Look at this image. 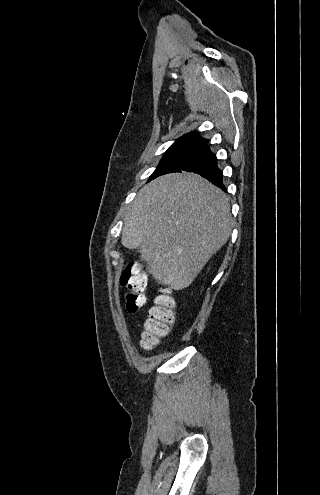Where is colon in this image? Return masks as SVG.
<instances>
[{
	"mask_svg": "<svg viewBox=\"0 0 320 495\" xmlns=\"http://www.w3.org/2000/svg\"><path fill=\"white\" fill-rule=\"evenodd\" d=\"M120 282L130 290L126 295L127 310L138 311L144 305L143 291L148 284L146 273L138 264L131 262L122 271ZM174 306L175 302L168 294V290H163L162 294L156 298L155 305L149 310L141 340L143 348L154 347L161 337L167 335L174 322Z\"/></svg>",
	"mask_w": 320,
	"mask_h": 495,
	"instance_id": "obj_1",
	"label": "colon"
}]
</instances>
